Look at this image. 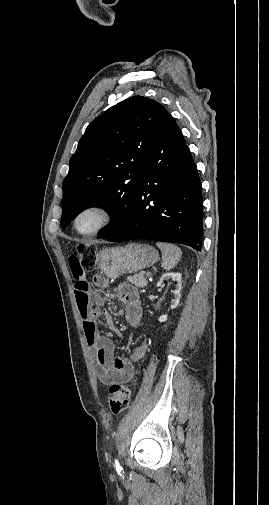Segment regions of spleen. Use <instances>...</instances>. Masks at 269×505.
Here are the masks:
<instances>
[{
	"label": "spleen",
	"instance_id": "1",
	"mask_svg": "<svg viewBox=\"0 0 269 505\" xmlns=\"http://www.w3.org/2000/svg\"><path fill=\"white\" fill-rule=\"evenodd\" d=\"M156 245L162 252V267L164 270L169 271L174 268L181 258V249L171 243L157 242Z\"/></svg>",
	"mask_w": 269,
	"mask_h": 505
}]
</instances>
